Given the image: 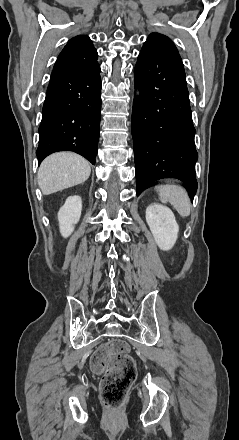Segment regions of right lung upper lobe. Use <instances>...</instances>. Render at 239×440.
Wrapping results in <instances>:
<instances>
[{
  "mask_svg": "<svg viewBox=\"0 0 239 440\" xmlns=\"http://www.w3.org/2000/svg\"><path fill=\"white\" fill-rule=\"evenodd\" d=\"M97 57L90 38L86 35L76 36L68 41L58 56L54 69H91L98 65Z\"/></svg>",
  "mask_w": 239,
  "mask_h": 440,
  "instance_id": "1",
  "label": "right lung upper lobe"
}]
</instances>
